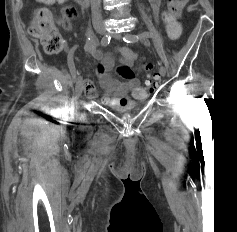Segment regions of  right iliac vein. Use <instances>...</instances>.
I'll list each match as a JSON object with an SVG mask.
<instances>
[{
	"instance_id": "63e3f726",
	"label": "right iliac vein",
	"mask_w": 237,
	"mask_h": 232,
	"mask_svg": "<svg viewBox=\"0 0 237 232\" xmlns=\"http://www.w3.org/2000/svg\"><path fill=\"white\" fill-rule=\"evenodd\" d=\"M96 31L99 34H103L105 32L104 26H97ZM83 91V80L82 77L79 76L76 80V96L79 98Z\"/></svg>"
}]
</instances>
